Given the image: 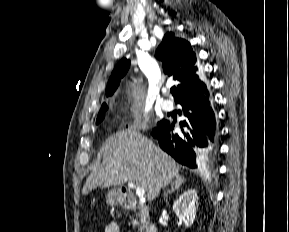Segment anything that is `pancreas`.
I'll return each instance as SVG.
<instances>
[{"mask_svg":"<svg viewBox=\"0 0 289 232\" xmlns=\"http://www.w3.org/2000/svg\"><path fill=\"white\" fill-rule=\"evenodd\" d=\"M138 216H139V220H137V219L133 220L132 225H133V227L138 226L140 232H142L146 228V220L143 216H140V215H138Z\"/></svg>","mask_w":289,"mask_h":232,"instance_id":"pancreas-1","label":"pancreas"}]
</instances>
